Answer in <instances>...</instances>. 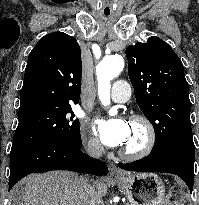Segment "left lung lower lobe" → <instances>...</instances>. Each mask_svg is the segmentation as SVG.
Segmentation results:
<instances>
[{
  "label": "left lung lower lobe",
  "mask_w": 199,
  "mask_h": 205,
  "mask_svg": "<svg viewBox=\"0 0 199 205\" xmlns=\"http://www.w3.org/2000/svg\"><path fill=\"white\" fill-rule=\"evenodd\" d=\"M194 153L193 142H178L168 148L150 153L149 156L132 163L118 164L128 171L164 172L178 175L193 190L194 182Z\"/></svg>",
  "instance_id": "left-lung-lower-lobe-1"
}]
</instances>
